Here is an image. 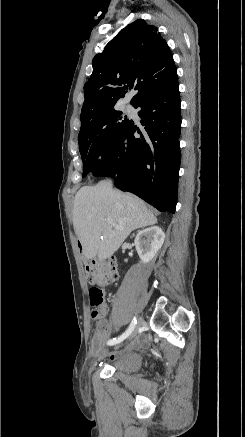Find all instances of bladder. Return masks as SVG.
Segmentation results:
<instances>
[{
    "instance_id": "31cf9c89",
    "label": "bladder",
    "mask_w": 245,
    "mask_h": 437,
    "mask_svg": "<svg viewBox=\"0 0 245 437\" xmlns=\"http://www.w3.org/2000/svg\"><path fill=\"white\" fill-rule=\"evenodd\" d=\"M143 356L140 353L126 352L119 355L112 363V368L119 373L131 374L141 368Z\"/></svg>"
}]
</instances>
